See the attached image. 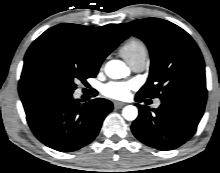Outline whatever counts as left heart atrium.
Masks as SVG:
<instances>
[{"instance_id":"left-heart-atrium-1","label":"left heart atrium","mask_w":220,"mask_h":173,"mask_svg":"<svg viewBox=\"0 0 220 173\" xmlns=\"http://www.w3.org/2000/svg\"><path fill=\"white\" fill-rule=\"evenodd\" d=\"M134 84L131 82H110L103 86L104 96L117 100H124L130 96Z\"/></svg>"}]
</instances>
